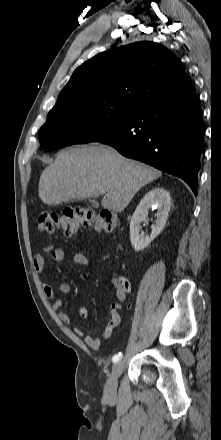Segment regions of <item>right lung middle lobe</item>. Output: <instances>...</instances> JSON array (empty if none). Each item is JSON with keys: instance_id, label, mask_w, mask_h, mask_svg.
Listing matches in <instances>:
<instances>
[{"instance_id": "1", "label": "right lung middle lobe", "mask_w": 221, "mask_h": 440, "mask_svg": "<svg viewBox=\"0 0 221 440\" xmlns=\"http://www.w3.org/2000/svg\"><path fill=\"white\" fill-rule=\"evenodd\" d=\"M134 109L112 102L77 103L52 109L39 130L40 144L52 150L96 142L118 128Z\"/></svg>"}]
</instances>
